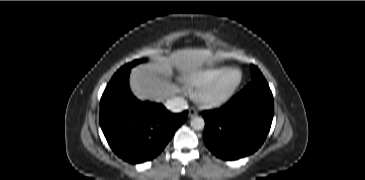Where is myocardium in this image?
<instances>
[{"mask_svg": "<svg viewBox=\"0 0 365 180\" xmlns=\"http://www.w3.org/2000/svg\"><path fill=\"white\" fill-rule=\"evenodd\" d=\"M231 72H237L239 78L237 82L225 93L216 95L213 93V87L215 84L223 78L226 74ZM243 82V73L239 68L229 67L220 72L215 78L202 86L195 93V100L199 105L205 108H216L228 103L236 94Z\"/></svg>", "mask_w": 365, "mask_h": 180, "instance_id": "1", "label": "myocardium"}]
</instances>
